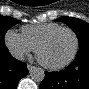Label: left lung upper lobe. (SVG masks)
Returning <instances> with one entry per match:
<instances>
[{"mask_svg":"<svg viewBox=\"0 0 89 89\" xmlns=\"http://www.w3.org/2000/svg\"><path fill=\"white\" fill-rule=\"evenodd\" d=\"M56 21L66 23L77 35L79 41V50L89 48V24L72 17H60Z\"/></svg>","mask_w":89,"mask_h":89,"instance_id":"5c2ea615","label":"left lung upper lobe"}]
</instances>
